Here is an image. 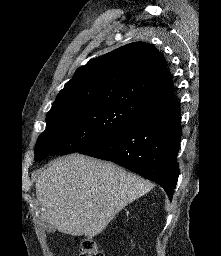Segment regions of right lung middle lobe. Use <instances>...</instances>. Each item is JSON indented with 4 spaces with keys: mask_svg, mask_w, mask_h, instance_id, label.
Instances as JSON below:
<instances>
[{
    "mask_svg": "<svg viewBox=\"0 0 221 256\" xmlns=\"http://www.w3.org/2000/svg\"><path fill=\"white\" fill-rule=\"evenodd\" d=\"M141 119L113 104H99L51 112L46 130L38 137L35 160L48 155L78 152L91 143L125 125Z\"/></svg>",
    "mask_w": 221,
    "mask_h": 256,
    "instance_id": "right-lung-middle-lobe-1",
    "label": "right lung middle lobe"
}]
</instances>
